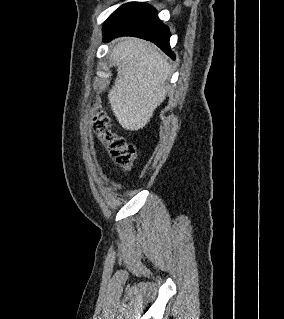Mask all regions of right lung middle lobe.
<instances>
[{"mask_svg": "<svg viewBox=\"0 0 284 319\" xmlns=\"http://www.w3.org/2000/svg\"><path fill=\"white\" fill-rule=\"evenodd\" d=\"M136 2H130L122 5L116 11H114L108 19L105 21L103 29L110 26L116 19H118L122 14H124L127 10H129Z\"/></svg>", "mask_w": 284, "mask_h": 319, "instance_id": "obj_1", "label": "right lung middle lobe"}]
</instances>
